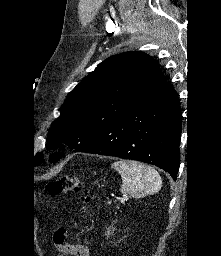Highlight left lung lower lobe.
I'll return each instance as SVG.
<instances>
[{
  "label": "left lung lower lobe",
  "instance_id": "1",
  "mask_svg": "<svg viewBox=\"0 0 221 256\" xmlns=\"http://www.w3.org/2000/svg\"><path fill=\"white\" fill-rule=\"evenodd\" d=\"M181 131L180 102L166 82L75 151L143 161L164 169L176 180Z\"/></svg>",
  "mask_w": 221,
  "mask_h": 256
}]
</instances>
